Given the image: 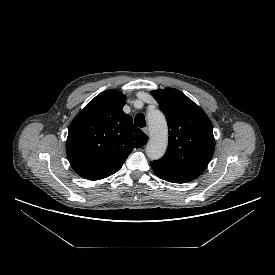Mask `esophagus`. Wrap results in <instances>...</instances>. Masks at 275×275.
Segmentation results:
<instances>
[{
	"instance_id": "1",
	"label": "esophagus",
	"mask_w": 275,
	"mask_h": 275,
	"mask_svg": "<svg viewBox=\"0 0 275 275\" xmlns=\"http://www.w3.org/2000/svg\"><path fill=\"white\" fill-rule=\"evenodd\" d=\"M143 132H144L145 134L149 135V128H148V127H145V128L143 129Z\"/></svg>"
}]
</instances>
